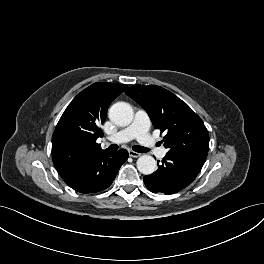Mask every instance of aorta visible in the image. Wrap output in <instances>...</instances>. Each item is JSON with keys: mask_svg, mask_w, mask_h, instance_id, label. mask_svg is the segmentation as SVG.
Wrapping results in <instances>:
<instances>
[{"mask_svg": "<svg viewBox=\"0 0 264 264\" xmlns=\"http://www.w3.org/2000/svg\"><path fill=\"white\" fill-rule=\"evenodd\" d=\"M133 110L125 102H117L109 109V119L118 126H128L133 120ZM137 169L144 175L152 174L156 171L155 159L150 155H142L137 160Z\"/></svg>", "mask_w": 264, "mask_h": 264, "instance_id": "762f6f07", "label": "aorta"}]
</instances>
